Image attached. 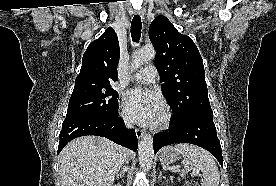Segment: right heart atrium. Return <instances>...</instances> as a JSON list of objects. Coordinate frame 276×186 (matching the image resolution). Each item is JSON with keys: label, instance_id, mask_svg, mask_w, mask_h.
Wrapping results in <instances>:
<instances>
[{"label": "right heart atrium", "instance_id": "d8ad5b80", "mask_svg": "<svg viewBox=\"0 0 276 186\" xmlns=\"http://www.w3.org/2000/svg\"><path fill=\"white\" fill-rule=\"evenodd\" d=\"M120 116L126 125H131V120L129 119V117L126 115V113L123 110L121 111Z\"/></svg>", "mask_w": 276, "mask_h": 186}]
</instances>
